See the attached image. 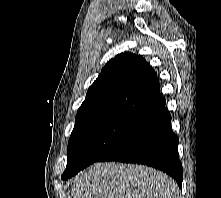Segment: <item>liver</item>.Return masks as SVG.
Here are the masks:
<instances>
[{
    "label": "liver",
    "mask_w": 221,
    "mask_h": 198,
    "mask_svg": "<svg viewBox=\"0 0 221 198\" xmlns=\"http://www.w3.org/2000/svg\"><path fill=\"white\" fill-rule=\"evenodd\" d=\"M73 198H179L166 174L144 165L94 163L74 178Z\"/></svg>",
    "instance_id": "liver-1"
}]
</instances>
